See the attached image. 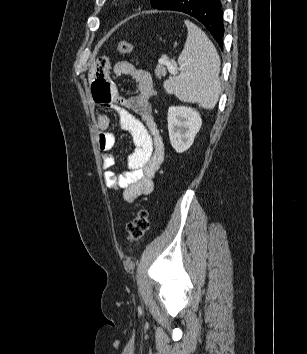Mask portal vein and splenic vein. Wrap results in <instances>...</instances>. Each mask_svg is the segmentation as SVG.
Masks as SVG:
<instances>
[{"label":"portal vein and splenic vein","mask_w":307,"mask_h":354,"mask_svg":"<svg viewBox=\"0 0 307 354\" xmlns=\"http://www.w3.org/2000/svg\"><path fill=\"white\" fill-rule=\"evenodd\" d=\"M159 63L166 65L171 74H176V71H175L174 67L172 66V64L169 61H167L165 59H160Z\"/></svg>","instance_id":"18ae733b"}]
</instances>
